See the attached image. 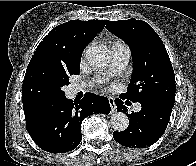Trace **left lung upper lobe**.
I'll return each mask as SVG.
<instances>
[{
    "label": "left lung upper lobe",
    "instance_id": "1",
    "mask_svg": "<svg viewBox=\"0 0 196 166\" xmlns=\"http://www.w3.org/2000/svg\"><path fill=\"white\" fill-rule=\"evenodd\" d=\"M106 28L126 42L133 69L128 90L121 94L132 102L154 100L174 106L175 75L166 48L146 22L136 19L109 21Z\"/></svg>",
    "mask_w": 196,
    "mask_h": 166
}]
</instances>
